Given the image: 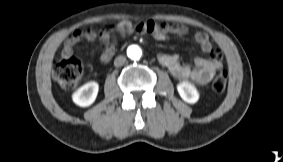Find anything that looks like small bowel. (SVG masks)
Segmentation results:
<instances>
[{
    "label": "small bowel",
    "instance_id": "1",
    "mask_svg": "<svg viewBox=\"0 0 283 162\" xmlns=\"http://www.w3.org/2000/svg\"><path fill=\"white\" fill-rule=\"evenodd\" d=\"M116 30L123 35L132 33L150 34L160 41L166 40L169 34L183 36L188 33V28L184 25L159 23L153 20L137 24L124 20L117 24ZM97 37L100 42L105 45V49L101 53L100 58L103 62H108L114 54V46L110 44L111 33L107 30L99 34L93 30L74 31L64 43L62 51L63 57H71L73 55L74 46L82 39L94 41ZM193 38L196 43L200 45L202 51L209 54L208 58H196L194 66L181 63L178 54H160L158 60L162 66L168 69L174 78L180 81H192L204 85L209 83L215 73L222 68L220 61L222 54L219 50L212 48L209 36L205 32L198 31L194 33Z\"/></svg>",
    "mask_w": 283,
    "mask_h": 162
}]
</instances>
